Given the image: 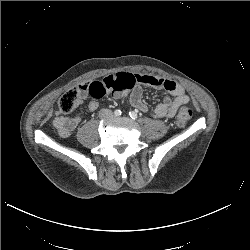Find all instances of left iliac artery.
Instances as JSON below:
<instances>
[{
	"label": "left iliac artery",
	"instance_id": "left-iliac-artery-1",
	"mask_svg": "<svg viewBox=\"0 0 250 250\" xmlns=\"http://www.w3.org/2000/svg\"><path fill=\"white\" fill-rule=\"evenodd\" d=\"M129 115H130V117H131L132 119H137V117H138L137 113L134 112V111L129 112Z\"/></svg>",
	"mask_w": 250,
	"mask_h": 250
}]
</instances>
